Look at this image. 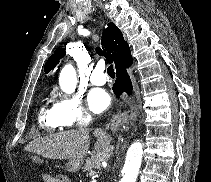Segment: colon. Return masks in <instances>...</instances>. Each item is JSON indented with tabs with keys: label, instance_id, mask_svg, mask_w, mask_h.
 I'll list each match as a JSON object with an SVG mask.
<instances>
[{
	"label": "colon",
	"instance_id": "1",
	"mask_svg": "<svg viewBox=\"0 0 211 182\" xmlns=\"http://www.w3.org/2000/svg\"><path fill=\"white\" fill-rule=\"evenodd\" d=\"M45 182H68L67 178L61 174H47Z\"/></svg>",
	"mask_w": 211,
	"mask_h": 182
}]
</instances>
